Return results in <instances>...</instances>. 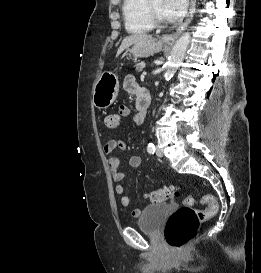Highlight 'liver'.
<instances>
[{"instance_id":"1","label":"liver","mask_w":261,"mask_h":273,"mask_svg":"<svg viewBox=\"0 0 261 273\" xmlns=\"http://www.w3.org/2000/svg\"><path fill=\"white\" fill-rule=\"evenodd\" d=\"M151 35L146 34H133L123 39L118 51L117 56H119L125 49L133 45L136 42L151 39Z\"/></svg>"}]
</instances>
